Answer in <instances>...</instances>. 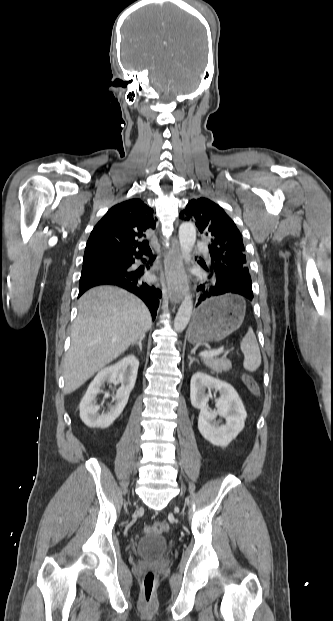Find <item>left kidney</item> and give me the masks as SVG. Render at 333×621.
Masks as SVG:
<instances>
[{
	"instance_id": "1",
	"label": "left kidney",
	"mask_w": 333,
	"mask_h": 621,
	"mask_svg": "<svg viewBox=\"0 0 333 621\" xmlns=\"http://www.w3.org/2000/svg\"><path fill=\"white\" fill-rule=\"evenodd\" d=\"M206 390L219 391L217 410L209 409L210 395ZM190 399L191 404L200 410L199 432L213 445L226 447L243 430L247 413L238 393L227 382L197 372L191 378ZM218 415L225 418L226 424L220 425L221 420H216Z\"/></svg>"
}]
</instances>
